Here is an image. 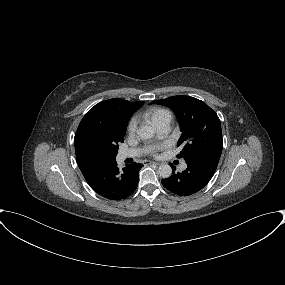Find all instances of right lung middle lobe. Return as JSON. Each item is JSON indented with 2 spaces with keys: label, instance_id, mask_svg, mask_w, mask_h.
I'll use <instances>...</instances> for the list:
<instances>
[{
  "label": "right lung middle lobe",
  "instance_id": "right-lung-middle-lobe-1",
  "mask_svg": "<svg viewBox=\"0 0 285 285\" xmlns=\"http://www.w3.org/2000/svg\"><path fill=\"white\" fill-rule=\"evenodd\" d=\"M110 154L113 157V159H115L117 153H118V144L116 146H111L109 148Z\"/></svg>",
  "mask_w": 285,
  "mask_h": 285
}]
</instances>
